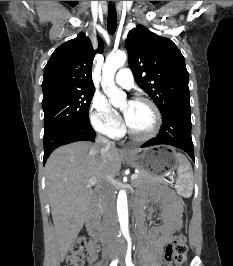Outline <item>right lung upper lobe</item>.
Segmentation results:
<instances>
[{
    "instance_id": "1",
    "label": "right lung upper lobe",
    "mask_w": 233,
    "mask_h": 266,
    "mask_svg": "<svg viewBox=\"0 0 233 266\" xmlns=\"http://www.w3.org/2000/svg\"><path fill=\"white\" fill-rule=\"evenodd\" d=\"M94 51L85 34L60 45L44 68L43 95L55 92L94 89L91 67L95 53H102L103 42L98 37Z\"/></svg>"
}]
</instances>
